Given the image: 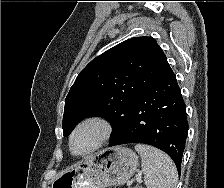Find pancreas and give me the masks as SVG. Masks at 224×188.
<instances>
[{"label":"pancreas","instance_id":"obj_1","mask_svg":"<svg viewBox=\"0 0 224 188\" xmlns=\"http://www.w3.org/2000/svg\"><path fill=\"white\" fill-rule=\"evenodd\" d=\"M134 188H142V187H140V186H136V187H134Z\"/></svg>","mask_w":224,"mask_h":188}]
</instances>
